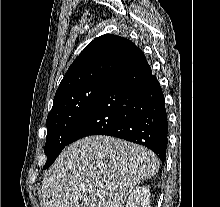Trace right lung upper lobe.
Segmentation results:
<instances>
[{
  "instance_id": "1",
  "label": "right lung upper lobe",
  "mask_w": 220,
  "mask_h": 207,
  "mask_svg": "<svg viewBox=\"0 0 220 207\" xmlns=\"http://www.w3.org/2000/svg\"><path fill=\"white\" fill-rule=\"evenodd\" d=\"M144 58V53L127 38L113 34L97 37L70 65L55 97L82 85L108 79Z\"/></svg>"
}]
</instances>
